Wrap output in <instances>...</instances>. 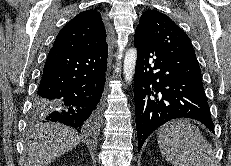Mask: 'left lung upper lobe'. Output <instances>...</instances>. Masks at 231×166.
Masks as SVG:
<instances>
[{"mask_svg": "<svg viewBox=\"0 0 231 166\" xmlns=\"http://www.w3.org/2000/svg\"><path fill=\"white\" fill-rule=\"evenodd\" d=\"M135 33L159 48L196 56L191 40L167 15L147 10L140 17Z\"/></svg>", "mask_w": 231, "mask_h": 166, "instance_id": "1", "label": "left lung upper lobe"}]
</instances>
